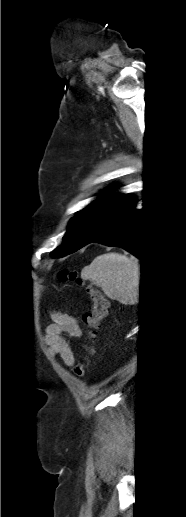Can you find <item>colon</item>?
Returning <instances> with one entry per match:
<instances>
[{
  "label": "colon",
  "mask_w": 186,
  "mask_h": 517,
  "mask_svg": "<svg viewBox=\"0 0 186 517\" xmlns=\"http://www.w3.org/2000/svg\"><path fill=\"white\" fill-rule=\"evenodd\" d=\"M59 280L63 283H75L77 285H85L79 275V272L73 268H63L59 273ZM86 291L91 300V309L83 315V322L87 331L88 343L86 344V354L75 367L74 373L78 377H82L89 365L90 357L94 354L93 342L95 340L97 329L100 321L107 315L108 300L95 287L86 285Z\"/></svg>",
  "instance_id": "colon-1"
}]
</instances>
